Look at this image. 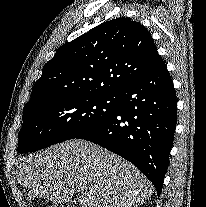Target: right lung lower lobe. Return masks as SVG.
<instances>
[{"label":"right lung lower lobe","instance_id":"98d812e1","mask_svg":"<svg viewBox=\"0 0 206 207\" xmlns=\"http://www.w3.org/2000/svg\"><path fill=\"white\" fill-rule=\"evenodd\" d=\"M176 122L175 89L160 57L145 75L117 94V109L112 115L77 138L130 161L160 196Z\"/></svg>","mask_w":206,"mask_h":207}]
</instances>
